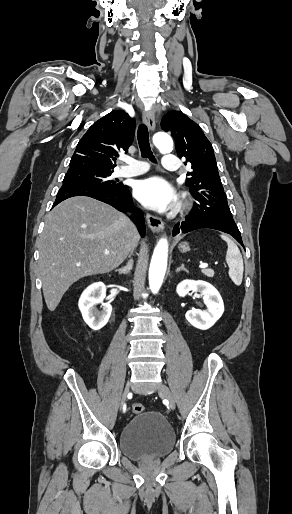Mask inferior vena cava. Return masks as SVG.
<instances>
[{"instance_id":"602c4592","label":"inferior vena cava","mask_w":292,"mask_h":514,"mask_svg":"<svg viewBox=\"0 0 292 514\" xmlns=\"http://www.w3.org/2000/svg\"><path fill=\"white\" fill-rule=\"evenodd\" d=\"M136 238H137V240H138V238H139L138 234H137ZM135 242H136V240H135ZM135 242H134L133 246H135Z\"/></svg>"}]
</instances>
